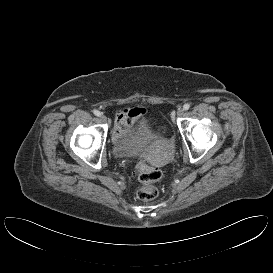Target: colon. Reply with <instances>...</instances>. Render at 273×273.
<instances>
[{"label":"colon","mask_w":273,"mask_h":273,"mask_svg":"<svg viewBox=\"0 0 273 273\" xmlns=\"http://www.w3.org/2000/svg\"><path fill=\"white\" fill-rule=\"evenodd\" d=\"M136 170L140 182L137 196L145 201L154 199L158 194L155 183L161 178V171L149 166L145 162L139 163Z\"/></svg>","instance_id":"obj_1"}]
</instances>
